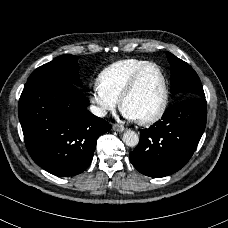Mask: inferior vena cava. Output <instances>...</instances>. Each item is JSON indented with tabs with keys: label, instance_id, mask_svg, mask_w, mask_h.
Returning <instances> with one entry per match:
<instances>
[{
	"label": "inferior vena cava",
	"instance_id": "inferior-vena-cava-1",
	"mask_svg": "<svg viewBox=\"0 0 228 228\" xmlns=\"http://www.w3.org/2000/svg\"><path fill=\"white\" fill-rule=\"evenodd\" d=\"M90 111H91L94 115H96V116H98V117H104V116L107 114V112H106L104 109L99 108V107L94 106V105H91V106H90Z\"/></svg>",
	"mask_w": 228,
	"mask_h": 228
}]
</instances>
